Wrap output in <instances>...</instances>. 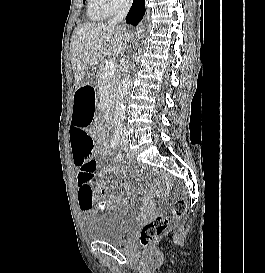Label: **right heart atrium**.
I'll return each instance as SVG.
<instances>
[{"label":"right heart atrium","instance_id":"1","mask_svg":"<svg viewBox=\"0 0 265 273\" xmlns=\"http://www.w3.org/2000/svg\"><path fill=\"white\" fill-rule=\"evenodd\" d=\"M95 4L109 16L127 10L132 0H94Z\"/></svg>","mask_w":265,"mask_h":273}]
</instances>
